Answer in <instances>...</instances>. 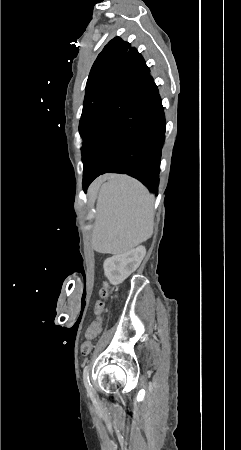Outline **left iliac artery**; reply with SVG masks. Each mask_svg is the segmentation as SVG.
<instances>
[{
  "mask_svg": "<svg viewBox=\"0 0 241 450\" xmlns=\"http://www.w3.org/2000/svg\"><path fill=\"white\" fill-rule=\"evenodd\" d=\"M83 383H84V386H85L86 390L88 391V393H91L92 385H91L90 380H89V367H88V365L84 366V369H83Z\"/></svg>",
  "mask_w": 241,
  "mask_h": 450,
  "instance_id": "obj_1",
  "label": "left iliac artery"
}]
</instances>
